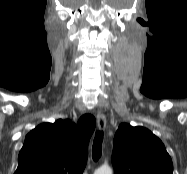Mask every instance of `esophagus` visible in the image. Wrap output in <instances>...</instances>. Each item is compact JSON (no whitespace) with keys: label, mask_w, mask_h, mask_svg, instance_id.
Listing matches in <instances>:
<instances>
[{"label":"esophagus","mask_w":187,"mask_h":174,"mask_svg":"<svg viewBox=\"0 0 187 174\" xmlns=\"http://www.w3.org/2000/svg\"><path fill=\"white\" fill-rule=\"evenodd\" d=\"M97 126L100 131L104 130L106 127V117L102 112H98L97 116Z\"/></svg>","instance_id":"1"}]
</instances>
